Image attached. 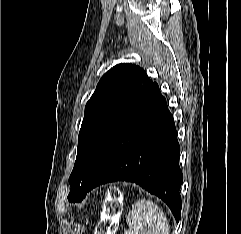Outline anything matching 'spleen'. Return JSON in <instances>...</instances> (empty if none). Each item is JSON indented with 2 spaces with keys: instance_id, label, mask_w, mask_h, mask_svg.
Returning a JSON list of instances; mask_svg holds the SVG:
<instances>
[{
  "instance_id": "3e777b00",
  "label": "spleen",
  "mask_w": 241,
  "mask_h": 234,
  "mask_svg": "<svg viewBox=\"0 0 241 234\" xmlns=\"http://www.w3.org/2000/svg\"><path fill=\"white\" fill-rule=\"evenodd\" d=\"M125 234H169V223L161 208L151 200L141 199L132 206L126 218Z\"/></svg>"
}]
</instances>
